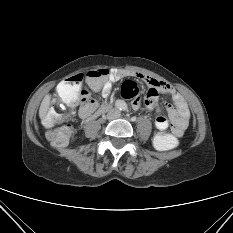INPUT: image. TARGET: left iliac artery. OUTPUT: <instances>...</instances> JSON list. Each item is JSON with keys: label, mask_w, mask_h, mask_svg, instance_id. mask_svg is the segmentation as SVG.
<instances>
[{"label": "left iliac artery", "mask_w": 233, "mask_h": 233, "mask_svg": "<svg viewBox=\"0 0 233 233\" xmlns=\"http://www.w3.org/2000/svg\"><path fill=\"white\" fill-rule=\"evenodd\" d=\"M123 110H124V111L127 110V106H124V107H123Z\"/></svg>", "instance_id": "44dca946"}]
</instances>
